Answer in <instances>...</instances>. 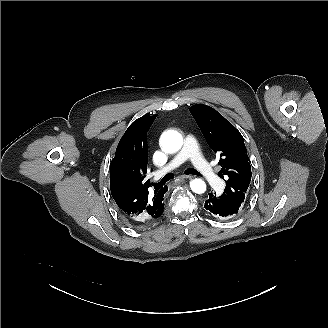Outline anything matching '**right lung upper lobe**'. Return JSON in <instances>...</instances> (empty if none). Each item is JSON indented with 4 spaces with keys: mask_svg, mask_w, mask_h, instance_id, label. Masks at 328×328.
I'll return each instance as SVG.
<instances>
[{
    "mask_svg": "<svg viewBox=\"0 0 328 328\" xmlns=\"http://www.w3.org/2000/svg\"><path fill=\"white\" fill-rule=\"evenodd\" d=\"M156 115L142 116L126 130L110 164V189L121 214L134 226L147 225L163 213V196L168 187L149 193L146 179L148 149L147 131Z\"/></svg>",
    "mask_w": 328,
    "mask_h": 328,
    "instance_id": "cb5924a9",
    "label": "right lung upper lobe"
}]
</instances>
